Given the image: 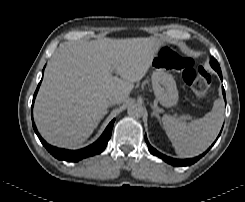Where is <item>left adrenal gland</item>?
<instances>
[{"instance_id": "1", "label": "left adrenal gland", "mask_w": 245, "mask_h": 202, "mask_svg": "<svg viewBox=\"0 0 245 202\" xmlns=\"http://www.w3.org/2000/svg\"><path fill=\"white\" fill-rule=\"evenodd\" d=\"M151 107L153 109L152 116H155L159 120L160 119V116L158 114L157 109L153 105H151Z\"/></svg>"}]
</instances>
